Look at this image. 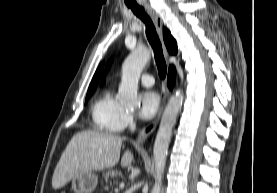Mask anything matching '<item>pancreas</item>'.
Instances as JSON below:
<instances>
[{"label": "pancreas", "mask_w": 277, "mask_h": 193, "mask_svg": "<svg viewBox=\"0 0 277 193\" xmlns=\"http://www.w3.org/2000/svg\"><path fill=\"white\" fill-rule=\"evenodd\" d=\"M104 178L107 180L108 178H117V179H123V173L118 170L110 169L103 173Z\"/></svg>", "instance_id": "pancreas-1"}]
</instances>
